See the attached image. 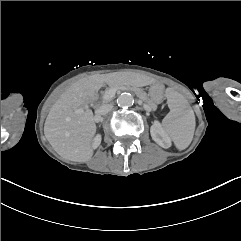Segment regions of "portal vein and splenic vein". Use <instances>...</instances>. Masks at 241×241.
I'll return each mask as SVG.
<instances>
[{"instance_id": "obj_1", "label": "portal vein and splenic vein", "mask_w": 241, "mask_h": 241, "mask_svg": "<svg viewBox=\"0 0 241 241\" xmlns=\"http://www.w3.org/2000/svg\"><path fill=\"white\" fill-rule=\"evenodd\" d=\"M116 90L115 88H110L108 91L105 92V95H104V99H111L115 96V93H116ZM83 111V109H78L76 112H81Z\"/></svg>"}]
</instances>
